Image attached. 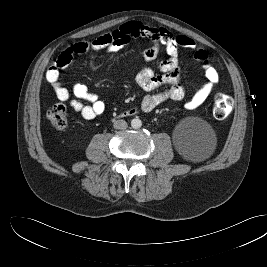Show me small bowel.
<instances>
[{"label": "small bowel", "mask_w": 267, "mask_h": 267, "mask_svg": "<svg viewBox=\"0 0 267 267\" xmlns=\"http://www.w3.org/2000/svg\"><path fill=\"white\" fill-rule=\"evenodd\" d=\"M143 37L151 40L152 45L143 52L147 64L158 56L161 46H164L168 57L160 61L157 70L147 65L135 73L136 83L147 92L142 98L141 108L151 111L165 101H180L184 99L186 90L180 82V49L194 51V57L203 64L206 82L185 103L186 110H194L202 105L219 82V74L212 65L209 55L204 49L197 48L195 42L184 35H174L165 28L147 25L140 21H130L119 28L104 33L91 41H82L67 47L48 68L47 82L54 88L56 96L61 101H68L71 108L79 112L83 118L90 120L105 111V103L99 96L91 92L83 83H75L71 89L60 83V71L66 69L74 55L88 51H104L113 54L119 51L131 39ZM90 67L95 69L93 60Z\"/></svg>", "instance_id": "small-bowel-1"}]
</instances>
